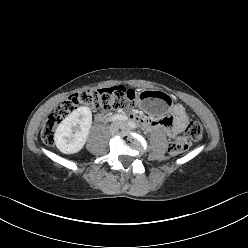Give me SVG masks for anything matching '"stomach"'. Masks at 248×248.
Instances as JSON below:
<instances>
[{
	"mask_svg": "<svg viewBox=\"0 0 248 248\" xmlns=\"http://www.w3.org/2000/svg\"><path fill=\"white\" fill-rule=\"evenodd\" d=\"M135 103L139 108L147 109L151 114L163 115L170 110L172 98L165 92L146 89L136 94Z\"/></svg>",
	"mask_w": 248,
	"mask_h": 248,
	"instance_id": "stomach-1",
	"label": "stomach"
}]
</instances>
